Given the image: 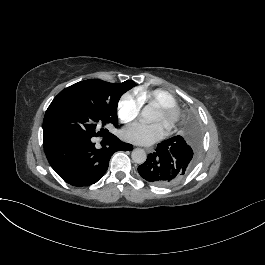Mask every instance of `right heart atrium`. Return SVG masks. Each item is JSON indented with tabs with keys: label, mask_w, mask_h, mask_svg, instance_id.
I'll list each match as a JSON object with an SVG mask.
<instances>
[{
	"label": "right heart atrium",
	"mask_w": 265,
	"mask_h": 265,
	"mask_svg": "<svg viewBox=\"0 0 265 265\" xmlns=\"http://www.w3.org/2000/svg\"><path fill=\"white\" fill-rule=\"evenodd\" d=\"M142 105L137 95L131 92L126 93L121 98L118 106V114L121 122L129 123L136 119L141 111Z\"/></svg>",
	"instance_id": "obj_1"
}]
</instances>
